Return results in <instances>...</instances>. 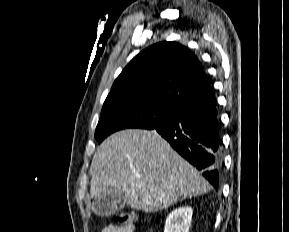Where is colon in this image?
I'll use <instances>...</instances> for the list:
<instances>
[{
  "mask_svg": "<svg viewBox=\"0 0 289 232\" xmlns=\"http://www.w3.org/2000/svg\"><path fill=\"white\" fill-rule=\"evenodd\" d=\"M113 219L118 226H125L131 224L133 215L128 211H117L113 214Z\"/></svg>",
  "mask_w": 289,
  "mask_h": 232,
  "instance_id": "colon-1",
  "label": "colon"
}]
</instances>
